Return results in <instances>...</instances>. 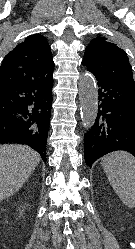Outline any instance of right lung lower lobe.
I'll list each match as a JSON object with an SVG mask.
<instances>
[{
    "label": "right lung lower lobe",
    "instance_id": "1",
    "mask_svg": "<svg viewBox=\"0 0 135 249\" xmlns=\"http://www.w3.org/2000/svg\"><path fill=\"white\" fill-rule=\"evenodd\" d=\"M53 77L0 87V143L26 144L46 162Z\"/></svg>",
    "mask_w": 135,
    "mask_h": 249
}]
</instances>
